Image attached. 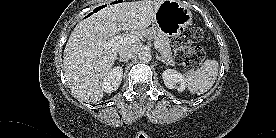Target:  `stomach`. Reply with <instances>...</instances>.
I'll return each instance as SVG.
<instances>
[{"instance_id": "1", "label": "stomach", "mask_w": 276, "mask_h": 138, "mask_svg": "<svg viewBox=\"0 0 276 138\" xmlns=\"http://www.w3.org/2000/svg\"><path fill=\"white\" fill-rule=\"evenodd\" d=\"M191 21V12L179 0H163L155 13L153 28L167 37L176 36Z\"/></svg>"}]
</instances>
